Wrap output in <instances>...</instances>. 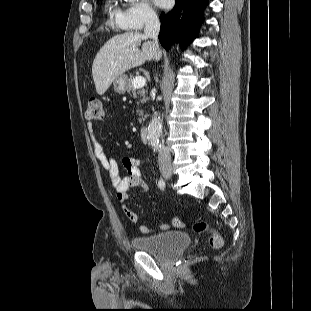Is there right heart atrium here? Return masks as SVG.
Instances as JSON below:
<instances>
[{
	"label": "right heart atrium",
	"mask_w": 311,
	"mask_h": 311,
	"mask_svg": "<svg viewBox=\"0 0 311 311\" xmlns=\"http://www.w3.org/2000/svg\"><path fill=\"white\" fill-rule=\"evenodd\" d=\"M123 10L117 14L121 28L128 31H139L157 20L155 9L146 0H126Z\"/></svg>",
	"instance_id": "1"
}]
</instances>
